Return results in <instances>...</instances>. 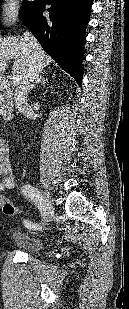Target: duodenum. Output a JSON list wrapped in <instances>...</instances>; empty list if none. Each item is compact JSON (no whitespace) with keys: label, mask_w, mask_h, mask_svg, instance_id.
Returning <instances> with one entry per match:
<instances>
[{"label":"duodenum","mask_w":129,"mask_h":309,"mask_svg":"<svg viewBox=\"0 0 129 309\" xmlns=\"http://www.w3.org/2000/svg\"><path fill=\"white\" fill-rule=\"evenodd\" d=\"M3 115H4L6 118H8V119H10V118L12 117V113H11V111H10L9 109L4 110V111H3Z\"/></svg>","instance_id":"duodenum-1"}]
</instances>
